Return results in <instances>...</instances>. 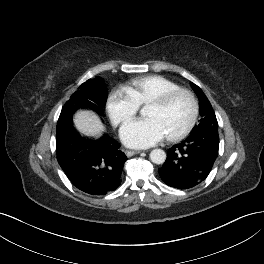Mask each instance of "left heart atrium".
I'll list each match as a JSON object with an SVG mask.
<instances>
[{
    "mask_svg": "<svg viewBox=\"0 0 264 264\" xmlns=\"http://www.w3.org/2000/svg\"><path fill=\"white\" fill-rule=\"evenodd\" d=\"M122 141L129 147L147 148L160 142L166 133L153 118L136 119L125 124L120 131Z\"/></svg>",
    "mask_w": 264,
    "mask_h": 264,
    "instance_id": "obj_1",
    "label": "left heart atrium"
}]
</instances>
